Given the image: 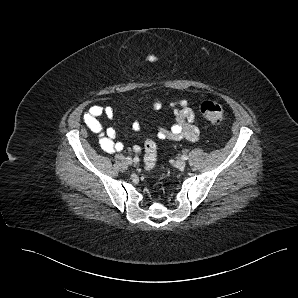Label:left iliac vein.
<instances>
[{"instance_id": "4c4485c4", "label": "left iliac vein", "mask_w": 298, "mask_h": 298, "mask_svg": "<svg viewBox=\"0 0 298 298\" xmlns=\"http://www.w3.org/2000/svg\"><path fill=\"white\" fill-rule=\"evenodd\" d=\"M174 165L179 169H184L186 167V163L183 160L176 161Z\"/></svg>"}]
</instances>
